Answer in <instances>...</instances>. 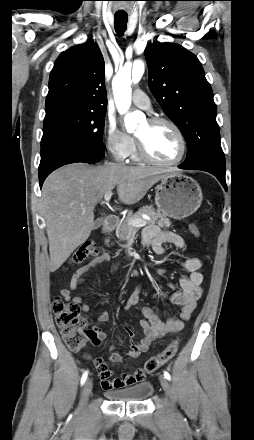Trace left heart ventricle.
<instances>
[{
    "mask_svg": "<svg viewBox=\"0 0 254 440\" xmlns=\"http://www.w3.org/2000/svg\"><path fill=\"white\" fill-rule=\"evenodd\" d=\"M135 135L142 139L148 152L157 160L170 162L180 154V140L175 131L166 124L142 123Z\"/></svg>",
    "mask_w": 254,
    "mask_h": 440,
    "instance_id": "obj_1",
    "label": "left heart ventricle"
}]
</instances>
